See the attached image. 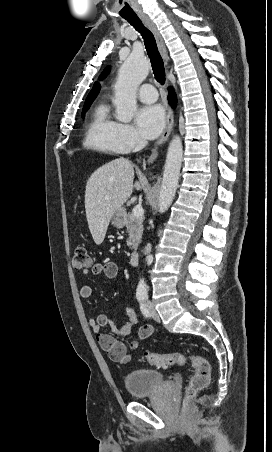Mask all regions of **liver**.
<instances>
[{
	"mask_svg": "<svg viewBox=\"0 0 272 452\" xmlns=\"http://www.w3.org/2000/svg\"><path fill=\"white\" fill-rule=\"evenodd\" d=\"M133 164L120 157L93 172L86 184L85 210L94 242L105 238L112 215L122 208L133 192Z\"/></svg>",
	"mask_w": 272,
	"mask_h": 452,
	"instance_id": "obj_1",
	"label": "liver"
}]
</instances>
